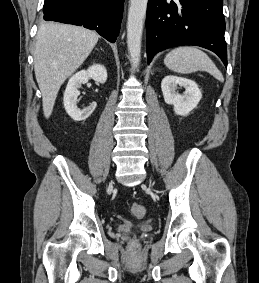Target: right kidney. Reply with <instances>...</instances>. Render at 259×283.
Returning <instances> with one entry per match:
<instances>
[{"label":"right kidney","mask_w":259,"mask_h":283,"mask_svg":"<svg viewBox=\"0 0 259 283\" xmlns=\"http://www.w3.org/2000/svg\"><path fill=\"white\" fill-rule=\"evenodd\" d=\"M89 78L101 84L107 80V71L103 65L94 64L87 70H82L73 75L67 84L64 92V107L67 114L75 121L86 120L95 110L96 102H93L87 108L80 110L77 107L78 96L80 94L78 88L81 84L88 82Z\"/></svg>","instance_id":"ca27d5eb"}]
</instances>
